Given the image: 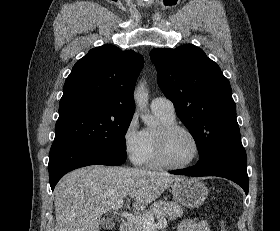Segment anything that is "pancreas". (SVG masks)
Returning <instances> with one entry per match:
<instances>
[{"mask_svg": "<svg viewBox=\"0 0 280 231\" xmlns=\"http://www.w3.org/2000/svg\"><path fill=\"white\" fill-rule=\"evenodd\" d=\"M183 211V207L179 203H176V201H155L148 211H142L140 217L154 219V217L167 215L169 219H177V217H182ZM127 229L128 231H145L143 223H139V221H131L127 225Z\"/></svg>", "mask_w": 280, "mask_h": 231, "instance_id": "1", "label": "pancreas"}]
</instances>
